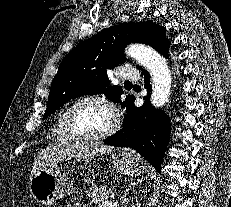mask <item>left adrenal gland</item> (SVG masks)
Segmentation results:
<instances>
[{
  "mask_svg": "<svg viewBox=\"0 0 231 207\" xmlns=\"http://www.w3.org/2000/svg\"><path fill=\"white\" fill-rule=\"evenodd\" d=\"M127 203H128V199L125 198V199H124V204H127Z\"/></svg>",
  "mask_w": 231,
  "mask_h": 207,
  "instance_id": "left-adrenal-gland-1",
  "label": "left adrenal gland"
}]
</instances>
